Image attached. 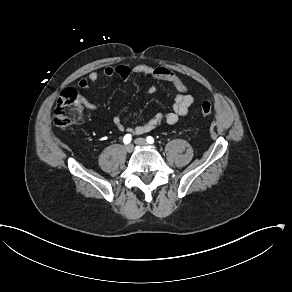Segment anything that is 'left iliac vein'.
I'll use <instances>...</instances> for the list:
<instances>
[{
  "instance_id": "left-iliac-vein-1",
  "label": "left iliac vein",
  "mask_w": 292,
  "mask_h": 292,
  "mask_svg": "<svg viewBox=\"0 0 292 292\" xmlns=\"http://www.w3.org/2000/svg\"><path fill=\"white\" fill-rule=\"evenodd\" d=\"M135 143L139 146H147L148 145L144 138H137L135 140Z\"/></svg>"
}]
</instances>
